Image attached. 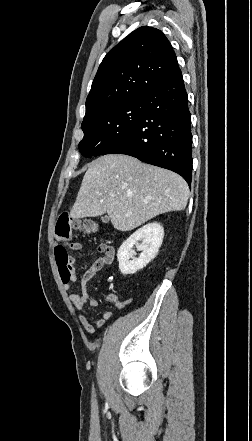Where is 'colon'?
Instances as JSON below:
<instances>
[{
	"instance_id": "1",
	"label": "colon",
	"mask_w": 252,
	"mask_h": 441,
	"mask_svg": "<svg viewBox=\"0 0 252 441\" xmlns=\"http://www.w3.org/2000/svg\"><path fill=\"white\" fill-rule=\"evenodd\" d=\"M80 227L86 231H91L93 224L90 221L83 223L74 221L68 214H62L56 223L55 238L57 243L55 245V258L59 269L66 277L70 276V255L65 242L71 238L72 230Z\"/></svg>"
}]
</instances>
